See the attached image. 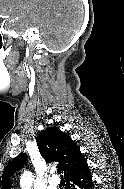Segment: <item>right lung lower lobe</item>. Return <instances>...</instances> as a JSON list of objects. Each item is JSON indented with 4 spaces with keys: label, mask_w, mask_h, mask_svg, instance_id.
<instances>
[{
    "label": "right lung lower lobe",
    "mask_w": 124,
    "mask_h": 189,
    "mask_svg": "<svg viewBox=\"0 0 124 189\" xmlns=\"http://www.w3.org/2000/svg\"><path fill=\"white\" fill-rule=\"evenodd\" d=\"M67 189H92L93 182L86 160L65 175Z\"/></svg>",
    "instance_id": "right-lung-lower-lobe-1"
}]
</instances>
